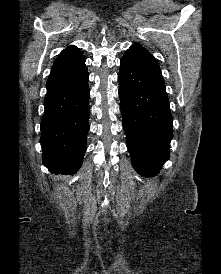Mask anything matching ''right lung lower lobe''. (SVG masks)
<instances>
[{
    "label": "right lung lower lobe",
    "instance_id": "right-lung-lower-lobe-1",
    "mask_svg": "<svg viewBox=\"0 0 221 274\" xmlns=\"http://www.w3.org/2000/svg\"><path fill=\"white\" fill-rule=\"evenodd\" d=\"M85 58L51 71L41 121L43 165L73 174L82 164L89 130V86Z\"/></svg>",
    "mask_w": 221,
    "mask_h": 274
}]
</instances>
